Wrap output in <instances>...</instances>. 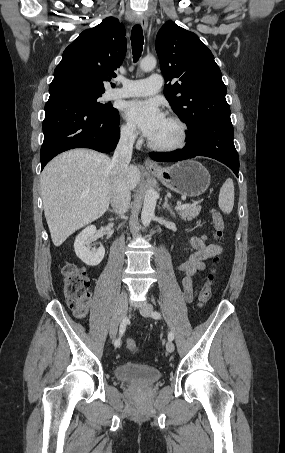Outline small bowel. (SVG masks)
<instances>
[{"label": "small bowel", "mask_w": 285, "mask_h": 453, "mask_svg": "<svg viewBox=\"0 0 285 453\" xmlns=\"http://www.w3.org/2000/svg\"><path fill=\"white\" fill-rule=\"evenodd\" d=\"M217 238L216 234H212ZM207 236H194L189 240L193 252L189 254L184 262L178 265V272L182 273L181 287L184 299L191 302L195 295L194 276L198 272L205 271V261L214 258L223 252L222 246L212 243H206Z\"/></svg>", "instance_id": "c3829d8e"}]
</instances>
